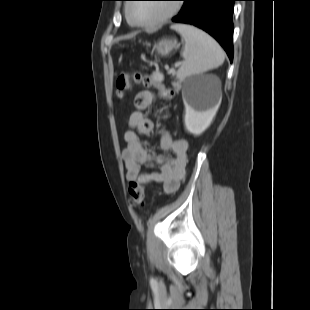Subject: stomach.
<instances>
[{
  "instance_id": "0dacf381",
  "label": "stomach",
  "mask_w": 310,
  "mask_h": 310,
  "mask_svg": "<svg viewBox=\"0 0 310 310\" xmlns=\"http://www.w3.org/2000/svg\"><path fill=\"white\" fill-rule=\"evenodd\" d=\"M179 44L175 39H162L154 45V49L161 56L169 55L174 49H177Z\"/></svg>"
}]
</instances>
